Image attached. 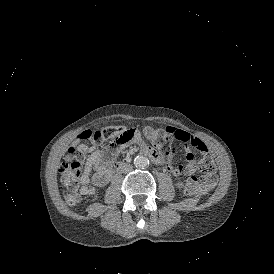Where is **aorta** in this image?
<instances>
[{
  "mask_svg": "<svg viewBox=\"0 0 274 274\" xmlns=\"http://www.w3.org/2000/svg\"><path fill=\"white\" fill-rule=\"evenodd\" d=\"M134 165L141 169L147 168L149 166V159L145 156H137L134 159Z\"/></svg>",
  "mask_w": 274,
  "mask_h": 274,
  "instance_id": "1",
  "label": "aorta"
}]
</instances>
